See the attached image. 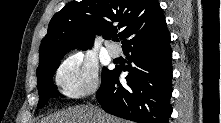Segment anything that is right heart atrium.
I'll use <instances>...</instances> for the list:
<instances>
[{
    "instance_id": "1",
    "label": "right heart atrium",
    "mask_w": 221,
    "mask_h": 123,
    "mask_svg": "<svg viewBox=\"0 0 221 123\" xmlns=\"http://www.w3.org/2000/svg\"><path fill=\"white\" fill-rule=\"evenodd\" d=\"M60 92L70 99H81L94 94L99 88L97 66L81 56L66 58L55 73Z\"/></svg>"
}]
</instances>
